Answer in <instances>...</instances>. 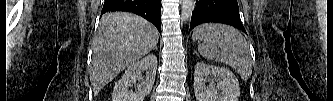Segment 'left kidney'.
Masks as SVG:
<instances>
[{
    "label": "left kidney",
    "instance_id": "1",
    "mask_svg": "<svg viewBox=\"0 0 333 101\" xmlns=\"http://www.w3.org/2000/svg\"><path fill=\"white\" fill-rule=\"evenodd\" d=\"M209 76L217 83L207 87ZM194 92L197 101H238L240 88L238 79L229 69L199 62L194 71Z\"/></svg>",
    "mask_w": 333,
    "mask_h": 101
}]
</instances>
